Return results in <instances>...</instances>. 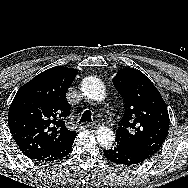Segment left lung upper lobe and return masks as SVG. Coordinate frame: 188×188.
I'll return each instance as SVG.
<instances>
[{
  "label": "left lung upper lobe",
  "instance_id": "1",
  "mask_svg": "<svg viewBox=\"0 0 188 188\" xmlns=\"http://www.w3.org/2000/svg\"><path fill=\"white\" fill-rule=\"evenodd\" d=\"M113 84L123 97L125 113L115 142L154 155L168 135L166 103L154 84L139 70L123 68Z\"/></svg>",
  "mask_w": 188,
  "mask_h": 188
}]
</instances>
